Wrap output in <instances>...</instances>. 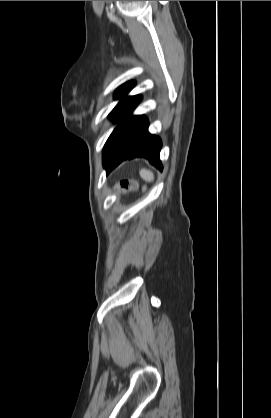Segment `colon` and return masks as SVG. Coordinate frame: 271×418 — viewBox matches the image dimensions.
<instances>
[{
  "mask_svg": "<svg viewBox=\"0 0 271 418\" xmlns=\"http://www.w3.org/2000/svg\"><path fill=\"white\" fill-rule=\"evenodd\" d=\"M121 187L123 188V189H128V188H136L137 186L135 185V184H130V183H123V184H121Z\"/></svg>",
  "mask_w": 271,
  "mask_h": 418,
  "instance_id": "obj_1",
  "label": "colon"
}]
</instances>
